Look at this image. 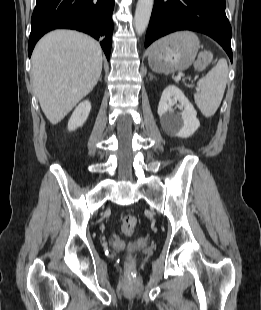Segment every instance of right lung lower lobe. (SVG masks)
I'll return each instance as SVG.
<instances>
[{
  "instance_id": "1",
  "label": "right lung lower lobe",
  "mask_w": 261,
  "mask_h": 310,
  "mask_svg": "<svg viewBox=\"0 0 261 310\" xmlns=\"http://www.w3.org/2000/svg\"><path fill=\"white\" fill-rule=\"evenodd\" d=\"M114 0H36L28 43L29 57L36 42L48 31L69 28L85 32L97 40L110 57Z\"/></svg>"
}]
</instances>
